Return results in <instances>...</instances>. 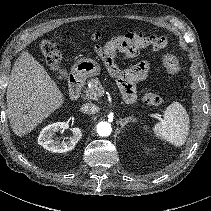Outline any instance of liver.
Instances as JSON below:
<instances>
[{"label": "liver", "instance_id": "1", "mask_svg": "<svg viewBox=\"0 0 211 211\" xmlns=\"http://www.w3.org/2000/svg\"><path fill=\"white\" fill-rule=\"evenodd\" d=\"M64 104V95L44 67L28 52L17 58L7 87V116L19 137L31 132Z\"/></svg>", "mask_w": 211, "mask_h": 211}]
</instances>
